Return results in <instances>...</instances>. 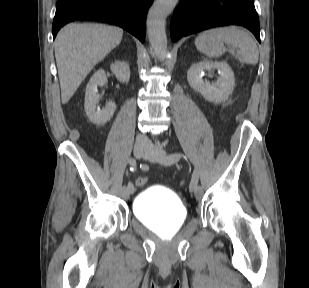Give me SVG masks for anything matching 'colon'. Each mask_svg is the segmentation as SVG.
I'll use <instances>...</instances> for the list:
<instances>
[{"mask_svg":"<svg viewBox=\"0 0 309 288\" xmlns=\"http://www.w3.org/2000/svg\"><path fill=\"white\" fill-rule=\"evenodd\" d=\"M136 184L138 187H144L147 184V178L140 177L136 180Z\"/></svg>","mask_w":309,"mask_h":288,"instance_id":"obj_1","label":"colon"}]
</instances>
